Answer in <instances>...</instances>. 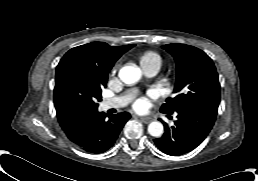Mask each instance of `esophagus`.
<instances>
[{
	"instance_id": "esophagus-1",
	"label": "esophagus",
	"mask_w": 258,
	"mask_h": 181,
	"mask_svg": "<svg viewBox=\"0 0 258 181\" xmlns=\"http://www.w3.org/2000/svg\"><path fill=\"white\" fill-rule=\"evenodd\" d=\"M140 120L145 123L148 124L150 123L153 119L151 117H140Z\"/></svg>"
}]
</instances>
